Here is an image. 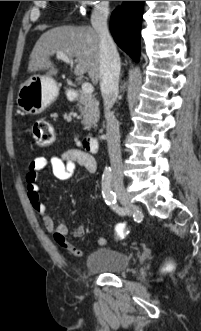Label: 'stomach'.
Returning a JSON list of instances; mask_svg holds the SVG:
<instances>
[{"instance_id":"0dacf381","label":"stomach","mask_w":201,"mask_h":331,"mask_svg":"<svg viewBox=\"0 0 201 331\" xmlns=\"http://www.w3.org/2000/svg\"><path fill=\"white\" fill-rule=\"evenodd\" d=\"M58 95L59 87L52 77L35 75L20 86L16 101L22 111L37 115L50 106Z\"/></svg>"}]
</instances>
